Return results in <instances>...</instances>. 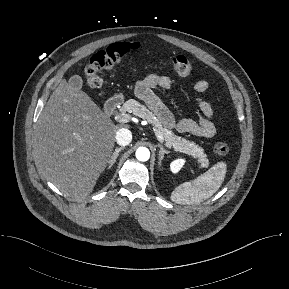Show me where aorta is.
Here are the masks:
<instances>
[{"instance_id":"762f6f07","label":"aorta","mask_w":289,"mask_h":289,"mask_svg":"<svg viewBox=\"0 0 289 289\" xmlns=\"http://www.w3.org/2000/svg\"><path fill=\"white\" fill-rule=\"evenodd\" d=\"M136 158L139 160V161H147L149 158H150V151L148 148L146 147H139L137 150H136Z\"/></svg>"}]
</instances>
